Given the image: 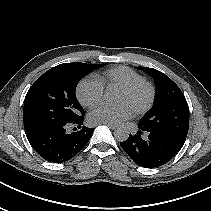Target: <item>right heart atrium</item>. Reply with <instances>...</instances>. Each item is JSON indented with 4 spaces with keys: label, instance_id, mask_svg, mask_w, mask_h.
Segmentation results:
<instances>
[{
    "label": "right heart atrium",
    "instance_id": "obj_1",
    "mask_svg": "<svg viewBox=\"0 0 211 211\" xmlns=\"http://www.w3.org/2000/svg\"><path fill=\"white\" fill-rule=\"evenodd\" d=\"M103 94L104 86L95 76H90L80 81L76 89V95L80 103L89 108L100 103Z\"/></svg>",
    "mask_w": 211,
    "mask_h": 211
}]
</instances>
